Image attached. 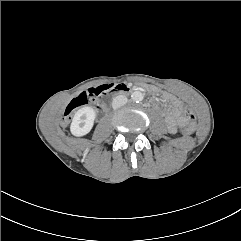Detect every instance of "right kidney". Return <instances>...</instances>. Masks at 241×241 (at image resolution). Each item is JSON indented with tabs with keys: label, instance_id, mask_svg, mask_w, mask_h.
Wrapping results in <instances>:
<instances>
[{
	"label": "right kidney",
	"instance_id": "1",
	"mask_svg": "<svg viewBox=\"0 0 241 241\" xmlns=\"http://www.w3.org/2000/svg\"><path fill=\"white\" fill-rule=\"evenodd\" d=\"M95 118L96 112L93 108H80L74 114V117L70 125V131L72 135L76 137H81L88 134L94 125Z\"/></svg>",
	"mask_w": 241,
	"mask_h": 241
}]
</instances>
